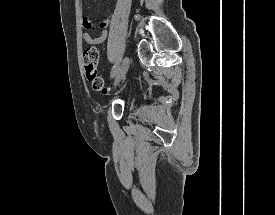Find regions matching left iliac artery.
<instances>
[{
	"label": "left iliac artery",
	"instance_id": "1",
	"mask_svg": "<svg viewBox=\"0 0 275 215\" xmlns=\"http://www.w3.org/2000/svg\"><path fill=\"white\" fill-rule=\"evenodd\" d=\"M118 71V63H116L113 68H112V71H111V78L114 77L116 75Z\"/></svg>",
	"mask_w": 275,
	"mask_h": 215
}]
</instances>
